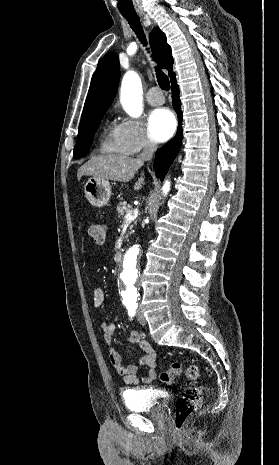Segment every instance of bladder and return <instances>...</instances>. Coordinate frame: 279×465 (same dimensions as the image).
Instances as JSON below:
<instances>
[{
    "label": "bladder",
    "mask_w": 279,
    "mask_h": 465,
    "mask_svg": "<svg viewBox=\"0 0 279 465\" xmlns=\"http://www.w3.org/2000/svg\"><path fill=\"white\" fill-rule=\"evenodd\" d=\"M122 399L126 408L131 412L161 414L167 407L169 395L149 388L134 387L124 389Z\"/></svg>",
    "instance_id": "bladder-1"
}]
</instances>
